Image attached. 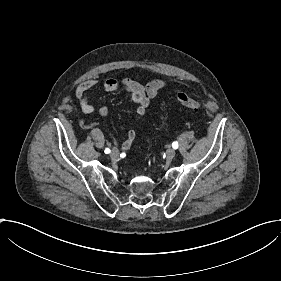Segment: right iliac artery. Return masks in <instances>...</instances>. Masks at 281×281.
I'll return each mask as SVG.
<instances>
[{
    "label": "right iliac artery",
    "mask_w": 281,
    "mask_h": 281,
    "mask_svg": "<svg viewBox=\"0 0 281 281\" xmlns=\"http://www.w3.org/2000/svg\"><path fill=\"white\" fill-rule=\"evenodd\" d=\"M106 154H109L111 152V150L109 148H106L104 151Z\"/></svg>",
    "instance_id": "82829eb1"
}]
</instances>
